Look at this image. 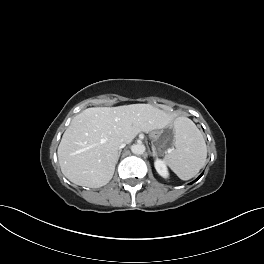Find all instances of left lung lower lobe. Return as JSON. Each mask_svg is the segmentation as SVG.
<instances>
[{
  "mask_svg": "<svg viewBox=\"0 0 264 264\" xmlns=\"http://www.w3.org/2000/svg\"><path fill=\"white\" fill-rule=\"evenodd\" d=\"M203 174H201L196 180H198ZM193 183V182H192Z\"/></svg>",
  "mask_w": 264,
  "mask_h": 264,
  "instance_id": "0a47b994",
  "label": "left lung lower lobe"
}]
</instances>
